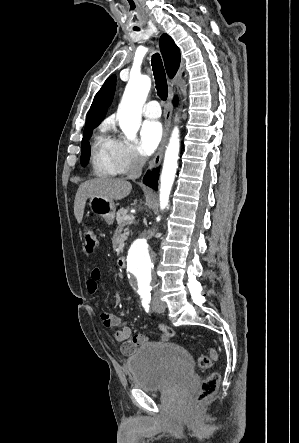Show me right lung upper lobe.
Masks as SVG:
<instances>
[{
    "label": "right lung upper lobe",
    "instance_id": "right-lung-upper-lobe-1",
    "mask_svg": "<svg viewBox=\"0 0 299 443\" xmlns=\"http://www.w3.org/2000/svg\"><path fill=\"white\" fill-rule=\"evenodd\" d=\"M160 50L165 62V67L169 77H174L180 66V51L175 45L173 39L167 34H163L160 38ZM116 86V76H110L101 89L97 92L93 103L90 107L86 120V127L99 125L104 119L107 108L110 106Z\"/></svg>",
    "mask_w": 299,
    "mask_h": 443
}]
</instances>
